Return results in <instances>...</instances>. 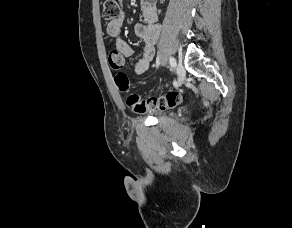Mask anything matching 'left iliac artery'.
Instances as JSON below:
<instances>
[{
    "label": "left iliac artery",
    "instance_id": "obj_1",
    "mask_svg": "<svg viewBox=\"0 0 292 228\" xmlns=\"http://www.w3.org/2000/svg\"><path fill=\"white\" fill-rule=\"evenodd\" d=\"M169 63L171 65L172 68H175L176 66V59L174 57H170L169 58Z\"/></svg>",
    "mask_w": 292,
    "mask_h": 228
}]
</instances>
